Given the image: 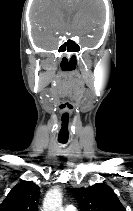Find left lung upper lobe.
Here are the masks:
<instances>
[{"label":"left lung upper lobe","mask_w":133,"mask_h":211,"mask_svg":"<svg viewBox=\"0 0 133 211\" xmlns=\"http://www.w3.org/2000/svg\"><path fill=\"white\" fill-rule=\"evenodd\" d=\"M72 193L83 211H126L113 189L105 184L75 188Z\"/></svg>","instance_id":"left-lung-upper-lobe-1"}]
</instances>
